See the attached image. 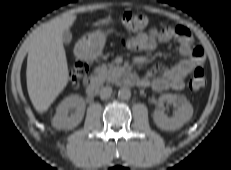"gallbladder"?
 Here are the masks:
<instances>
[{
    "instance_id": "bac80fb5",
    "label": "gallbladder",
    "mask_w": 231,
    "mask_h": 170,
    "mask_svg": "<svg viewBox=\"0 0 231 170\" xmlns=\"http://www.w3.org/2000/svg\"><path fill=\"white\" fill-rule=\"evenodd\" d=\"M72 40V34L69 30L63 32L62 41L64 44H69Z\"/></svg>"
}]
</instances>
